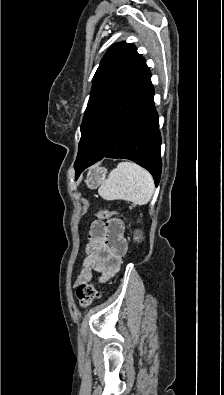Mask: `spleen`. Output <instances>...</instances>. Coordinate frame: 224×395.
I'll return each mask as SVG.
<instances>
[{
	"instance_id": "3e777b00",
	"label": "spleen",
	"mask_w": 224,
	"mask_h": 395,
	"mask_svg": "<svg viewBox=\"0 0 224 395\" xmlns=\"http://www.w3.org/2000/svg\"><path fill=\"white\" fill-rule=\"evenodd\" d=\"M152 175L133 162H120L101 183L99 195L105 200H126L135 205L147 204L154 193Z\"/></svg>"
}]
</instances>
